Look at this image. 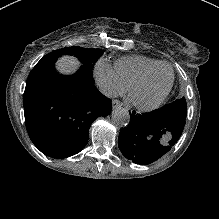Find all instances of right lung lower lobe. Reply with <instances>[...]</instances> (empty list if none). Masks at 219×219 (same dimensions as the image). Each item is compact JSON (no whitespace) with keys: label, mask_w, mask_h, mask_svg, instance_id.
Here are the masks:
<instances>
[{"label":"right lung lower lobe","mask_w":219,"mask_h":219,"mask_svg":"<svg viewBox=\"0 0 219 219\" xmlns=\"http://www.w3.org/2000/svg\"><path fill=\"white\" fill-rule=\"evenodd\" d=\"M57 58L40 60L27 79L23 104L28 134L44 154L64 158L86 145L91 123L110 113L111 100L94 87L92 68L72 76L54 69Z\"/></svg>","instance_id":"98d812e1"}]
</instances>
